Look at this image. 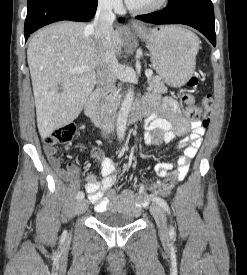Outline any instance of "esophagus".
<instances>
[{
  "label": "esophagus",
  "mask_w": 247,
  "mask_h": 275,
  "mask_svg": "<svg viewBox=\"0 0 247 275\" xmlns=\"http://www.w3.org/2000/svg\"><path fill=\"white\" fill-rule=\"evenodd\" d=\"M131 26L132 27H142V25L140 23L133 21V20L131 21Z\"/></svg>",
  "instance_id": "obj_1"
}]
</instances>
